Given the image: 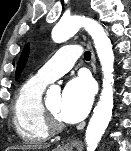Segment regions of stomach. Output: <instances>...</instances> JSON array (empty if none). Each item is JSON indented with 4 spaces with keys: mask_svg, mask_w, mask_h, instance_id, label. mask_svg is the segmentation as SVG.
Listing matches in <instances>:
<instances>
[{
    "mask_svg": "<svg viewBox=\"0 0 131 151\" xmlns=\"http://www.w3.org/2000/svg\"><path fill=\"white\" fill-rule=\"evenodd\" d=\"M60 151H72V150L71 148L64 147V148H60Z\"/></svg>",
    "mask_w": 131,
    "mask_h": 151,
    "instance_id": "obj_1",
    "label": "stomach"
}]
</instances>
